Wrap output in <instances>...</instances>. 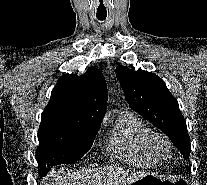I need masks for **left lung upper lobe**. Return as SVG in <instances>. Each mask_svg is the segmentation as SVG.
I'll return each instance as SVG.
<instances>
[{
	"instance_id": "1",
	"label": "left lung upper lobe",
	"mask_w": 207,
	"mask_h": 185,
	"mask_svg": "<svg viewBox=\"0 0 207 185\" xmlns=\"http://www.w3.org/2000/svg\"><path fill=\"white\" fill-rule=\"evenodd\" d=\"M116 76L131 109L163 131L188 159L190 138L186 121L165 82L152 72H134L122 65L117 66Z\"/></svg>"
}]
</instances>
